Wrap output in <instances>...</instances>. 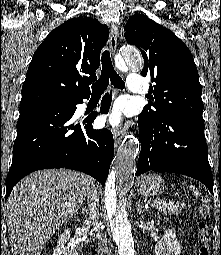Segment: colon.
<instances>
[{"label":"colon","instance_id":"1","mask_svg":"<svg viewBox=\"0 0 221 255\" xmlns=\"http://www.w3.org/2000/svg\"><path fill=\"white\" fill-rule=\"evenodd\" d=\"M199 221L198 227V239L199 247L197 255H210L209 244L211 241V228L208 223V219L211 215V206L208 200L203 199L198 205Z\"/></svg>","mask_w":221,"mask_h":255}]
</instances>
